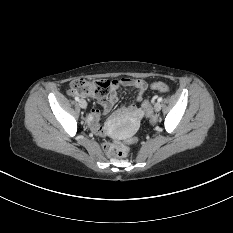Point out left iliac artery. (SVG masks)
Returning a JSON list of instances; mask_svg holds the SVG:
<instances>
[{"label": "left iliac artery", "mask_w": 233, "mask_h": 233, "mask_svg": "<svg viewBox=\"0 0 233 233\" xmlns=\"http://www.w3.org/2000/svg\"><path fill=\"white\" fill-rule=\"evenodd\" d=\"M162 100H163L162 97H159V98H158V102H161Z\"/></svg>", "instance_id": "obj_1"}]
</instances>
